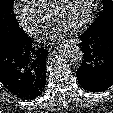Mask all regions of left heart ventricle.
Returning a JSON list of instances; mask_svg holds the SVG:
<instances>
[{
    "label": "left heart ventricle",
    "mask_w": 113,
    "mask_h": 113,
    "mask_svg": "<svg viewBox=\"0 0 113 113\" xmlns=\"http://www.w3.org/2000/svg\"><path fill=\"white\" fill-rule=\"evenodd\" d=\"M88 0H64L60 5L56 22L66 28L79 22L85 13Z\"/></svg>",
    "instance_id": "b2bd125f"
}]
</instances>
